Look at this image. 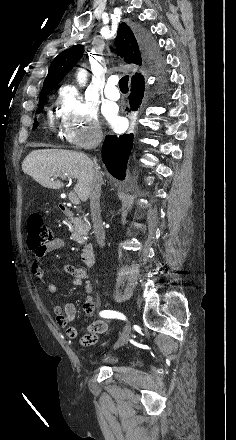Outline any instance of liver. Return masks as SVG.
I'll list each match as a JSON object with an SVG mask.
<instances>
[{
	"instance_id": "6515ba94",
	"label": "liver",
	"mask_w": 236,
	"mask_h": 440,
	"mask_svg": "<svg viewBox=\"0 0 236 440\" xmlns=\"http://www.w3.org/2000/svg\"><path fill=\"white\" fill-rule=\"evenodd\" d=\"M22 170L37 183L50 189L64 186L61 181L55 180L57 177L75 178L77 183L74 191L78 197L86 202L90 196L94 163L84 153L60 149L34 150L24 159Z\"/></svg>"
}]
</instances>
